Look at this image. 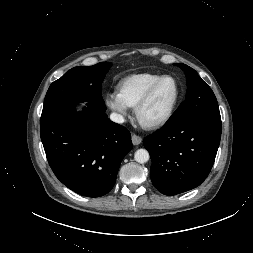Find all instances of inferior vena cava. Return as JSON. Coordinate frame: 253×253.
I'll return each instance as SVG.
<instances>
[{"mask_svg":"<svg viewBox=\"0 0 253 253\" xmlns=\"http://www.w3.org/2000/svg\"><path fill=\"white\" fill-rule=\"evenodd\" d=\"M110 119H111V121H113L115 123H123L125 121L124 117L118 113H111Z\"/></svg>","mask_w":253,"mask_h":253,"instance_id":"obj_1","label":"inferior vena cava"}]
</instances>
